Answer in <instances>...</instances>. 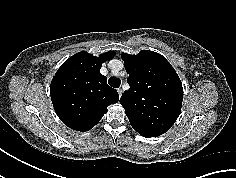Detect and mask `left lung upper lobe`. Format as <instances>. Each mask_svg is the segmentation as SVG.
Listing matches in <instances>:
<instances>
[{"instance_id":"5c2ea615","label":"left lung upper lobe","mask_w":236,"mask_h":178,"mask_svg":"<svg viewBox=\"0 0 236 178\" xmlns=\"http://www.w3.org/2000/svg\"><path fill=\"white\" fill-rule=\"evenodd\" d=\"M121 57L130 89L120 103L131 126L145 137L164 134L181 112L183 88L178 74L165 57L153 51Z\"/></svg>"}]
</instances>
